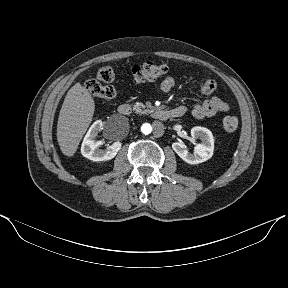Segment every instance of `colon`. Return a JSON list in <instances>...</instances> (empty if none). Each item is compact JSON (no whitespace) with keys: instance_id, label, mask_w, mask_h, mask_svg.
I'll return each mask as SVG.
<instances>
[{"instance_id":"obj_1","label":"colon","mask_w":288,"mask_h":288,"mask_svg":"<svg viewBox=\"0 0 288 288\" xmlns=\"http://www.w3.org/2000/svg\"><path fill=\"white\" fill-rule=\"evenodd\" d=\"M167 67L162 64L153 62H145L141 65H136L129 72L122 71L123 76L128 77L135 83L147 81H155L165 75ZM118 75L109 66L101 67L97 72V79H89L85 82V87L92 95L110 101L117 95V89L110 85L117 79ZM101 82L105 83L102 84ZM223 129L226 133H234L238 128V119L235 116H226L223 119Z\"/></svg>"}]
</instances>
